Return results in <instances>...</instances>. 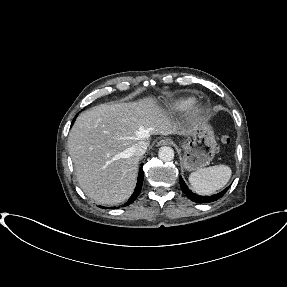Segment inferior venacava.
<instances>
[{"label": "inferior vena cava", "instance_id": "obj_1", "mask_svg": "<svg viewBox=\"0 0 287 287\" xmlns=\"http://www.w3.org/2000/svg\"><path fill=\"white\" fill-rule=\"evenodd\" d=\"M147 147L148 145L145 141H139L132 147V152L135 156L140 157L145 154Z\"/></svg>", "mask_w": 287, "mask_h": 287}]
</instances>
